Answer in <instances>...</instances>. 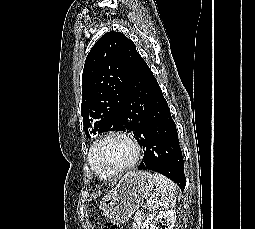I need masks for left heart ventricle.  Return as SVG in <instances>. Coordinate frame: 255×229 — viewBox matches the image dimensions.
I'll return each mask as SVG.
<instances>
[{
	"label": "left heart ventricle",
	"instance_id": "left-heart-ventricle-1",
	"mask_svg": "<svg viewBox=\"0 0 255 229\" xmlns=\"http://www.w3.org/2000/svg\"><path fill=\"white\" fill-rule=\"evenodd\" d=\"M134 157L132 146L123 138L111 137L100 144L97 159L107 168L116 169L129 164Z\"/></svg>",
	"mask_w": 255,
	"mask_h": 229
}]
</instances>
